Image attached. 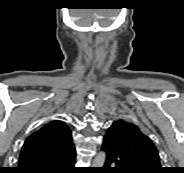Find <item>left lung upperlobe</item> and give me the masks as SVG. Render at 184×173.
I'll use <instances>...</instances> for the list:
<instances>
[{
	"instance_id": "1",
	"label": "left lung upper lobe",
	"mask_w": 184,
	"mask_h": 173,
	"mask_svg": "<svg viewBox=\"0 0 184 173\" xmlns=\"http://www.w3.org/2000/svg\"><path fill=\"white\" fill-rule=\"evenodd\" d=\"M104 139L134 173H163L155 145L135 124L117 120Z\"/></svg>"
}]
</instances>
